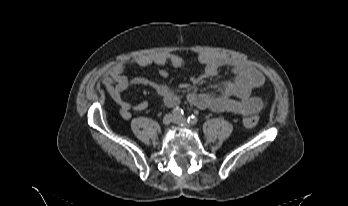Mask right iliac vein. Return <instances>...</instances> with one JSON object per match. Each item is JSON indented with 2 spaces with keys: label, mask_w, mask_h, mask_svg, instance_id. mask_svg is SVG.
<instances>
[{
  "label": "right iliac vein",
  "mask_w": 348,
  "mask_h": 206,
  "mask_svg": "<svg viewBox=\"0 0 348 206\" xmlns=\"http://www.w3.org/2000/svg\"><path fill=\"white\" fill-rule=\"evenodd\" d=\"M173 121H174V117L171 114H166L163 118V124L165 125H169Z\"/></svg>",
  "instance_id": "right-iliac-vein-1"
}]
</instances>
